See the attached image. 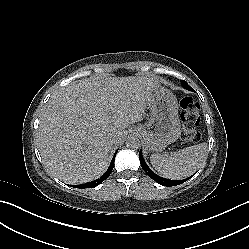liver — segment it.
I'll list each match as a JSON object with an SVG mask.
<instances>
[{"instance_id":"obj_1","label":"liver","mask_w":249,"mask_h":249,"mask_svg":"<svg viewBox=\"0 0 249 249\" xmlns=\"http://www.w3.org/2000/svg\"><path fill=\"white\" fill-rule=\"evenodd\" d=\"M154 86L150 79H93L61 90L40 118L37 147L44 165L72 173L75 183L99 178L124 129L143 119L146 95Z\"/></svg>"}]
</instances>
